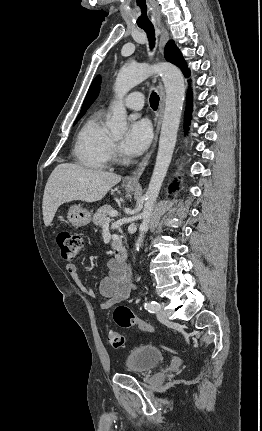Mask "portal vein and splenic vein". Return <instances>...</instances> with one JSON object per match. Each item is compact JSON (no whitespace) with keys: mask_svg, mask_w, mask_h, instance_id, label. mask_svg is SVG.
<instances>
[{"mask_svg":"<svg viewBox=\"0 0 262 431\" xmlns=\"http://www.w3.org/2000/svg\"><path fill=\"white\" fill-rule=\"evenodd\" d=\"M118 215V213L116 212V211H112L111 213H109V217H107L106 218V220H105V224H109V222H110V217H115V216H117Z\"/></svg>","mask_w":262,"mask_h":431,"instance_id":"18ae733b","label":"portal vein and splenic vein"}]
</instances>
